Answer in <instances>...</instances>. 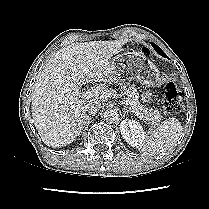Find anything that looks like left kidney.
<instances>
[{
    "instance_id": "1",
    "label": "left kidney",
    "mask_w": 209,
    "mask_h": 209,
    "mask_svg": "<svg viewBox=\"0 0 209 209\" xmlns=\"http://www.w3.org/2000/svg\"><path fill=\"white\" fill-rule=\"evenodd\" d=\"M124 140L132 147H140L145 138L142 126L135 120L125 119L120 123Z\"/></svg>"
}]
</instances>
